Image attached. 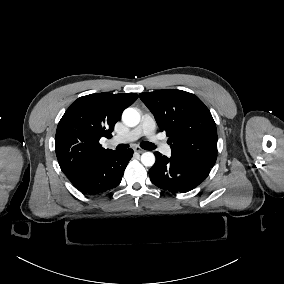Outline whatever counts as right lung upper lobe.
I'll list each match as a JSON object with an SVG mask.
<instances>
[{"mask_svg": "<svg viewBox=\"0 0 284 284\" xmlns=\"http://www.w3.org/2000/svg\"><path fill=\"white\" fill-rule=\"evenodd\" d=\"M137 98L135 93L103 92L82 96L70 105L59 121L55 136L56 156L70 181L115 151L104 149L99 140L111 137L123 110Z\"/></svg>", "mask_w": 284, "mask_h": 284, "instance_id": "cb5924a9", "label": "right lung upper lobe"}]
</instances>
